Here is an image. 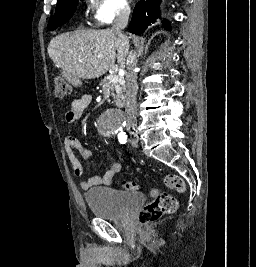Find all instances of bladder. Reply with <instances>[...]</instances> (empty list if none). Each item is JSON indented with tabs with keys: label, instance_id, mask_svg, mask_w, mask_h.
<instances>
[{
	"label": "bladder",
	"instance_id": "bladder-1",
	"mask_svg": "<svg viewBox=\"0 0 256 267\" xmlns=\"http://www.w3.org/2000/svg\"><path fill=\"white\" fill-rule=\"evenodd\" d=\"M85 197L91 214L103 219L122 218L145 202L144 195H123L111 188L92 189Z\"/></svg>",
	"mask_w": 256,
	"mask_h": 267
}]
</instances>
